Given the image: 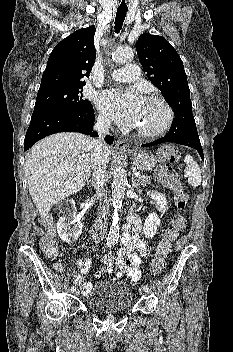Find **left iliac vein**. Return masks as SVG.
I'll return each instance as SVG.
<instances>
[{
  "label": "left iliac vein",
  "instance_id": "left-iliac-vein-1",
  "mask_svg": "<svg viewBox=\"0 0 233 352\" xmlns=\"http://www.w3.org/2000/svg\"><path fill=\"white\" fill-rule=\"evenodd\" d=\"M140 294H141L142 296H146V295H147V292L142 289V290H140Z\"/></svg>",
  "mask_w": 233,
  "mask_h": 352
}]
</instances>
